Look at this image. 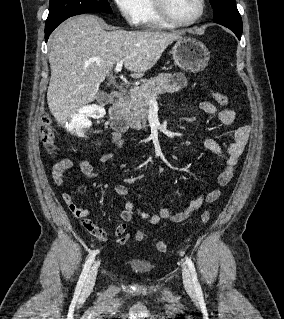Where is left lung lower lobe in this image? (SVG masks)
I'll return each mask as SVG.
<instances>
[{
  "mask_svg": "<svg viewBox=\"0 0 284 319\" xmlns=\"http://www.w3.org/2000/svg\"><path fill=\"white\" fill-rule=\"evenodd\" d=\"M215 23H218L220 25H223V26L229 28L231 31H233L235 33V35L238 37L239 40L241 39L243 26H239V25H235V24L227 23V22H215Z\"/></svg>",
  "mask_w": 284,
  "mask_h": 319,
  "instance_id": "left-lung-lower-lobe-1",
  "label": "left lung lower lobe"
}]
</instances>
